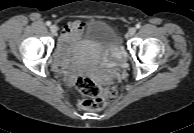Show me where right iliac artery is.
Instances as JSON below:
<instances>
[{
    "instance_id": "right-iliac-artery-1",
    "label": "right iliac artery",
    "mask_w": 194,
    "mask_h": 133,
    "mask_svg": "<svg viewBox=\"0 0 194 133\" xmlns=\"http://www.w3.org/2000/svg\"><path fill=\"white\" fill-rule=\"evenodd\" d=\"M46 25H47V26H50V25H51V22H50V21H47V22H46Z\"/></svg>"
}]
</instances>
